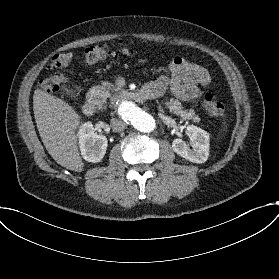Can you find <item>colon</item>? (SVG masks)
<instances>
[{"mask_svg": "<svg viewBox=\"0 0 279 279\" xmlns=\"http://www.w3.org/2000/svg\"><path fill=\"white\" fill-rule=\"evenodd\" d=\"M130 49L127 43H107L88 48L84 53V63L91 65L102 61L113 55H128ZM73 58L69 50H63L56 53L48 64V69L57 74L63 68L67 67ZM62 78L60 75H54L42 83V89L45 92L58 90ZM202 105L205 111L211 116H221L224 113L222 102L217 100L212 94L205 93L202 97Z\"/></svg>", "mask_w": 279, "mask_h": 279, "instance_id": "colon-1", "label": "colon"}]
</instances>
